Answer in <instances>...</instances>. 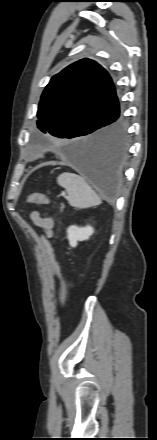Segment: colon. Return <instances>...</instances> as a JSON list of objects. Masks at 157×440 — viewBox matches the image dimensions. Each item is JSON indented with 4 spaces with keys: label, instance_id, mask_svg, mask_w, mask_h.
Returning a JSON list of instances; mask_svg holds the SVG:
<instances>
[{
    "label": "colon",
    "instance_id": "5ec220e1",
    "mask_svg": "<svg viewBox=\"0 0 157 440\" xmlns=\"http://www.w3.org/2000/svg\"><path fill=\"white\" fill-rule=\"evenodd\" d=\"M27 202L36 205H45L49 203L48 198L41 193H32L27 197ZM44 252L48 261V264L56 278L58 284V300L62 307L66 304L67 297V284L64 279L60 265L56 259L52 242L49 239L43 241Z\"/></svg>",
    "mask_w": 157,
    "mask_h": 440
}]
</instances>
